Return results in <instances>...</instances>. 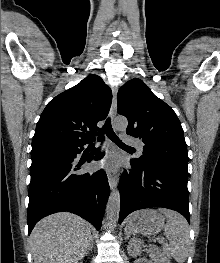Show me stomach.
<instances>
[{
    "mask_svg": "<svg viewBox=\"0 0 220 263\" xmlns=\"http://www.w3.org/2000/svg\"><path fill=\"white\" fill-rule=\"evenodd\" d=\"M165 227L164 217L156 210L147 209L131 214L126 223V229L131 233L153 235Z\"/></svg>",
    "mask_w": 220,
    "mask_h": 263,
    "instance_id": "1",
    "label": "stomach"
}]
</instances>
